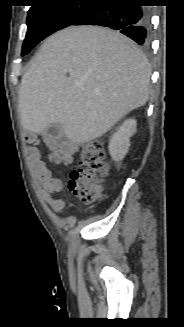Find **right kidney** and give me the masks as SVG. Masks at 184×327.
Masks as SVG:
<instances>
[{"label": "right kidney", "mask_w": 184, "mask_h": 327, "mask_svg": "<svg viewBox=\"0 0 184 327\" xmlns=\"http://www.w3.org/2000/svg\"><path fill=\"white\" fill-rule=\"evenodd\" d=\"M137 122L135 119H127L111 137L109 152L113 160H122L128 152L130 137L136 132Z\"/></svg>", "instance_id": "ca27d5eb"}]
</instances>
